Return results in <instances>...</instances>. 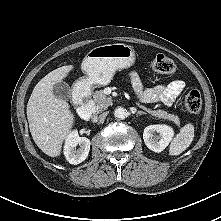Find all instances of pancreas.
I'll return each instance as SVG.
<instances>
[{
  "label": "pancreas",
  "instance_id": "pancreas-1",
  "mask_svg": "<svg viewBox=\"0 0 221 221\" xmlns=\"http://www.w3.org/2000/svg\"><path fill=\"white\" fill-rule=\"evenodd\" d=\"M93 99L95 101L96 107L99 111L106 110L110 105H112V99L108 97L103 90L95 91L93 95ZM136 105L145 110L147 113L151 114L152 116L158 118V119H167L169 121L174 122L176 125L180 124L178 116L174 114H170L164 110L158 109V110H151L146 108L144 105L140 104L139 102H136Z\"/></svg>",
  "mask_w": 221,
  "mask_h": 221
}]
</instances>
